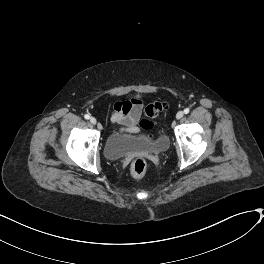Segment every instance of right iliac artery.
<instances>
[{
    "mask_svg": "<svg viewBox=\"0 0 264 264\" xmlns=\"http://www.w3.org/2000/svg\"><path fill=\"white\" fill-rule=\"evenodd\" d=\"M84 118L88 120L90 118V115L89 114H85Z\"/></svg>",
    "mask_w": 264,
    "mask_h": 264,
    "instance_id": "82829eb1",
    "label": "right iliac artery"
}]
</instances>
